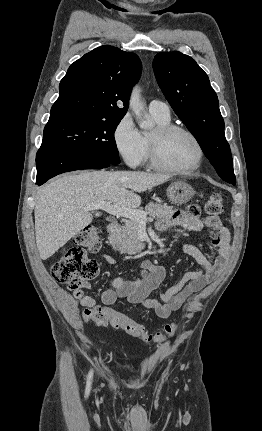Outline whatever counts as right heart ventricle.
<instances>
[{"label": "right heart ventricle", "mask_w": 262, "mask_h": 431, "mask_svg": "<svg viewBox=\"0 0 262 431\" xmlns=\"http://www.w3.org/2000/svg\"><path fill=\"white\" fill-rule=\"evenodd\" d=\"M151 115H152L153 119L155 120V122L157 123L158 126L171 124L170 123V116L169 117H163V116L153 114V113H151ZM149 137H150V135H148L146 133L142 134V138L144 140L145 148H146V154H145L144 159H146L149 155Z\"/></svg>", "instance_id": "e07e8e85"}]
</instances>
